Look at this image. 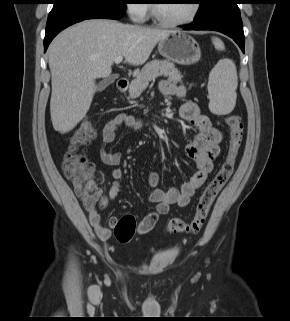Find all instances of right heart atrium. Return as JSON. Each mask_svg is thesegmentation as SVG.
I'll use <instances>...</instances> for the list:
<instances>
[{"mask_svg": "<svg viewBox=\"0 0 290 321\" xmlns=\"http://www.w3.org/2000/svg\"><path fill=\"white\" fill-rule=\"evenodd\" d=\"M144 0H129L126 4V12L134 22H142L146 19L148 6Z\"/></svg>", "mask_w": 290, "mask_h": 321, "instance_id": "right-heart-atrium-1", "label": "right heart atrium"}]
</instances>
